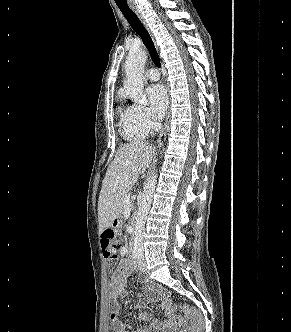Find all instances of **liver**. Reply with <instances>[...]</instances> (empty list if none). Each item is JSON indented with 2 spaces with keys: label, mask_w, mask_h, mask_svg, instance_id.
Listing matches in <instances>:
<instances>
[{
  "label": "liver",
  "mask_w": 291,
  "mask_h": 332,
  "mask_svg": "<svg viewBox=\"0 0 291 332\" xmlns=\"http://www.w3.org/2000/svg\"><path fill=\"white\" fill-rule=\"evenodd\" d=\"M155 148L144 142L123 145L109 165L102 182L98 200L99 232L112 225L120 215L123 195L134 186L139 175L151 164Z\"/></svg>",
  "instance_id": "6515ba94"
}]
</instances>
